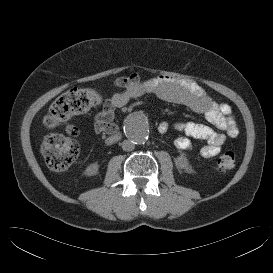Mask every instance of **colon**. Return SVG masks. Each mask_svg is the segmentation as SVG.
I'll return each mask as SVG.
<instances>
[{
    "label": "colon",
    "mask_w": 273,
    "mask_h": 273,
    "mask_svg": "<svg viewBox=\"0 0 273 273\" xmlns=\"http://www.w3.org/2000/svg\"><path fill=\"white\" fill-rule=\"evenodd\" d=\"M102 102V94L96 88L70 90L57 98L50 106L43 123L47 128H55L73 116L83 114ZM41 152L51 170L62 171L78 158L79 146L70 136L52 135L43 139ZM235 154L226 151L220 155L217 167L226 171L234 167Z\"/></svg>",
    "instance_id": "colon-1"
}]
</instances>
